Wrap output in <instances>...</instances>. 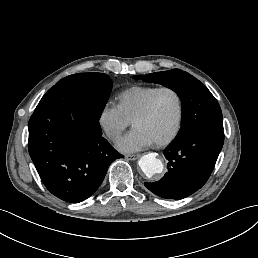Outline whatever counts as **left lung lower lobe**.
I'll return each instance as SVG.
<instances>
[{
	"mask_svg": "<svg viewBox=\"0 0 258 258\" xmlns=\"http://www.w3.org/2000/svg\"><path fill=\"white\" fill-rule=\"evenodd\" d=\"M224 131L204 129L172 142L164 151L168 172L157 182L144 185L155 195L179 200L199 190L209 179L223 147Z\"/></svg>",
	"mask_w": 258,
	"mask_h": 258,
	"instance_id": "0a47b994",
	"label": "left lung lower lobe"
}]
</instances>
